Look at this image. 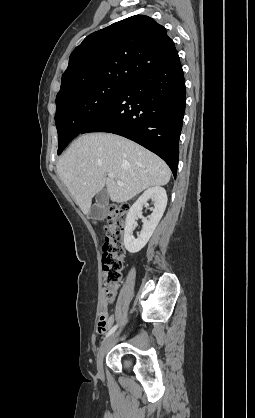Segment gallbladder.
Returning a JSON list of instances; mask_svg holds the SVG:
<instances>
[{"mask_svg": "<svg viewBox=\"0 0 255 418\" xmlns=\"http://www.w3.org/2000/svg\"><path fill=\"white\" fill-rule=\"evenodd\" d=\"M95 200V204L89 211V215L92 218L100 217L105 213L103 208L108 204L109 201V194L107 189L103 188L101 191H99L96 194Z\"/></svg>", "mask_w": 255, "mask_h": 418, "instance_id": "bac80fb5", "label": "gallbladder"}]
</instances>
